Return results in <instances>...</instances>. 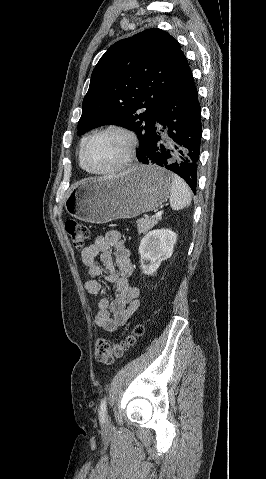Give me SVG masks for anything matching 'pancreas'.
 I'll list each match as a JSON object with an SVG mask.
<instances>
[{"instance_id":"obj_1","label":"pancreas","mask_w":266,"mask_h":479,"mask_svg":"<svg viewBox=\"0 0 266 479\" xmlns=\"http://www.w3.org/2000/svg\"><path fill=\"white\" fill-rule=\"evenodd\" d=\"M161 220L158 218H140L136 221L137 230L139 233L145 234L147 231L152 229L158 222Z\"/></svg>"}]
</instances>
